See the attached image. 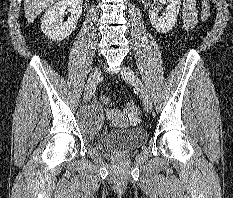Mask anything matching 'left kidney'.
<instances>
[{
	"mask_svg": "<svg viewBox=\"0 0 233 198\" xmlns=\"http://www.w3.org/2000/svg\"><path fill=\"white\" fill-rule=\"evenodd\" d=\"M166 5L163 16H158V8L153 5L149 10V18L152 26L160 33L170 31L177 22L181 0H153Z\"/></svg>",
	"mask_w": 233,
	"mask_h": 198,
	"instance_id": "obj_1",
	"label": "left kidney"
}]
</instances>
